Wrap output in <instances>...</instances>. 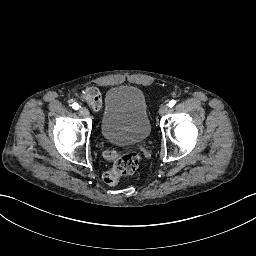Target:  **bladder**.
I'll list each match as a JSON object with an SVG mask.
<instances>
[{
	"label": "bladder",
	"instance_id": "bladder-1",
	"mask_svg": "<svg viewBox=\"0 0 256 256\" xmlns=\"http://www.w3.org/2000/svg\"><path fill=\"white\" fill-rule=\"evenodd\" d=\"M151 130L148 106L142 91L116 85L105 96L100 135L112 144L127 145L147 140Z\"/></svg>",
	"mask_w": 256,
	"mask_h": 256
}]
</instances>
